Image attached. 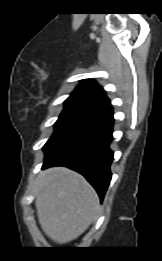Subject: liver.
I'll use <instances>...</instances> for the list:
<instances>
[{
	"instance_id": "6515ba94",
	"label": "liver",
	"mask_w": 162,
	"mask_h": 261,
	"mask_svg": "<svg viewBox=\"0 0 162 261\" xmlns=\"http://www.w3.org/2000/svg\"><path fill=\"white\" fill-rule=\"evenodd\" d=\"M35 206L43 232L59 244L78 238L96 219L99 198L78 173L54 167L38 181Z\"/></svg>"
}]
</instances>
